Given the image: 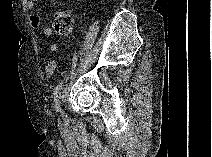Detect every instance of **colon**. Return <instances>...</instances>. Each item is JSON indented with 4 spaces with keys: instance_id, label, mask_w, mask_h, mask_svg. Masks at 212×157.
Segmentation results:
<instances>
[{
    "instance_id": "obj_1",
    "label": "colon",
    "mask_w": 212,
    "mask_h": 157,
    "mask_svg": "<svg viewBox=\"0 0 212 157\" xmlns=\"http://www.w3.org/2000/svg\"><path fill=\"white\" fill-rule=\"evenodd\" d=\"M73 19L69 12L58 10L54 14L53 28L59 37H68L72 31Z\"/></svg>"
}]
</instances>
